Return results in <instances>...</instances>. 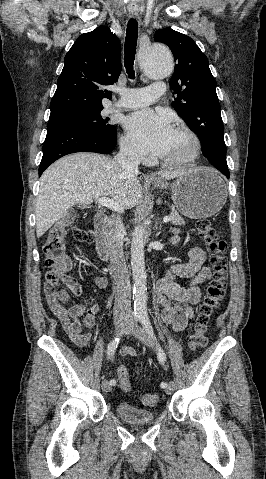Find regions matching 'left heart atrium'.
Here are the masks:
<instances>
[{
    "instance_id": "1",
    "label": "left heart atrium",
    "mask_w": 266,
    "mask_h": 479,
    "mask_svg": "<svg viewBox=\"0 0 266 479\" xmlns=\"http://www.w3.org/2000/svg\"><path fill=\"white\" fill-rule=\"evenodd\" d=\"M124 124L133 142L143 151L160 157L167 152L174 129L166 116L143 109L127 116Z\"/></svg>"
}]
</instances>
